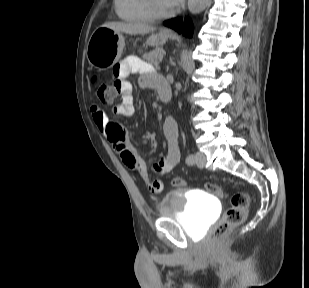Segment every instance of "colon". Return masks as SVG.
I'll return each mask as SVG.
<instances>
[{"label": "colon", "instance_id": "5ec220e1", "mask_svg": "<svg viewBox=\"0 0 309 288\" xmlns=\"http://www.w3.org/2000/svg\"><path fill=\"white\" fill-rule=\"evenodd\" d=\"M89 87L98 100L103 103H109L117 93L116 86L112 88L110 85L101 80L98 75H91L89 78ZM172 185L184 187L185 179L175 177L172 179ZM150 190L155 192L151 186ZM207 190L219 197H225V191L218 185L208 183ZM158 193V192H155ZM250 205V197L246 192H237L231 196L230 206L224 212L220 221L214 226L211 237L218 240L224 237L232 228L240 225L246 216Z\"/></svg>", "mask_w": 309, "mask_h": 288}]
</instances>
